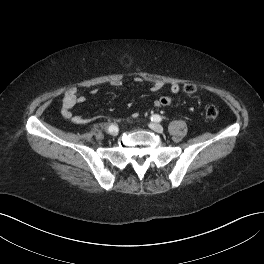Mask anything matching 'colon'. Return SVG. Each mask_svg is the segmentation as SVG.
<instances>
[{
  "instance_id": "5ec220e1",
  "label": "colon",
  "mask_w": 264,
  "mask_h": 264,
  "mask_svg": "<svg viewBox=\"0 0 264 264\" xmlns=\"http://www.w3.org/2000/svg\"><path fill=\"white\" fill-rule=\"evenodd\" d=\"M183 91L187 94H193L196 92V86L191 84V83L184 84ZM158 103L162 107H167V106L172 105L173 100L169 96H161L158 99ZM204 114H205L206 118L213 120V119H216L218 117L219 111L214 105H209L206 107Z\"/></svg>"
}]
</instances>
